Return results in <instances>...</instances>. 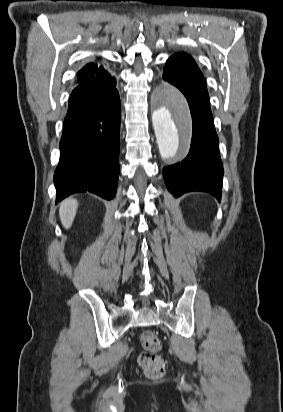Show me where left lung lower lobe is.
Segmentation results:
<instances>
[{
  "label": "left lung lower lobe",
  "mask_w": 283,
  "mask_h": 412,
  "mask_svg": "<svg viewBox=\"0 0 283 412\" xmlns=\"http://www.w3.org/2000/svg\"><path fill=\"white\" fill-rule=\"evenodd\" d=\"M186 97L192 116V140L187 157L163 169L167 189L179 197L191 191L207 192L221 199L223 165L218 149L206 81L197 76H163Z\"/></svg>",
  "instance_id": "obj_1"
}]
</instances>
